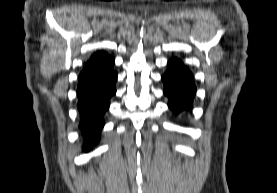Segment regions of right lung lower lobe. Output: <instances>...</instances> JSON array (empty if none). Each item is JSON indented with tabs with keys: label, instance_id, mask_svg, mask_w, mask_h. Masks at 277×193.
Instances as JSON below:
<instances>
[{
	"label": "right lung lower lobe",
	"instance_id": "1",
	"mask_svg": "<svg viewBox=\"0 0 277 193\" xmlns=\"http://www.w3.org/2000/svg\"><path fill=\"white\" fill-rule=\"evenodd\" d=\"M114 59L101 51L91 56L78 77L79 127L86 138L84 150L99 140L98 132L104 126V113L109 108L110 97L116 93L117 74L113 71Z\"/></svg>",
	"mask_w": 277,
	"mask_h": 193
}]
</instances>
